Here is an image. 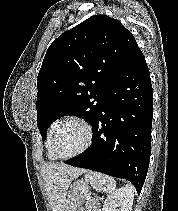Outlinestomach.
<instances>
[{"instance_id": "1", "label": "stomach", "mask_w": 178, "mask_h": 211, "mask_svg": "<svg viewBox=\"0 0 178 211\" xmlns=\"http://www.w3.org/2000/svg\"><path fill=\"white\" fill-rule=\"evenodd\" d=\"M89 184L86 181L80 180L71 184L63 211H76L85 201L89 193Z\"/></svg>"}]
</instances>
